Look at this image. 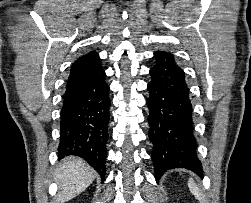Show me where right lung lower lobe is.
<instances>
[{
  "label": "right lung lower lobe",
  "instance_id": "right-lung-lower-lobe-1",
  "mask_svg": "<svg viewBox=\"0 0 251 203\" xmlns=\"http://www.w3.org/2000/svg\"><path fill=\"white\" fill-rule=\"evenodd\" d=\"M100 66L67 84L60 112L59 157L83 158L105 179L109 86Z\"/></svg>",
  "mask_w": 251,
  "mask_h": 203
}]
</instances>
